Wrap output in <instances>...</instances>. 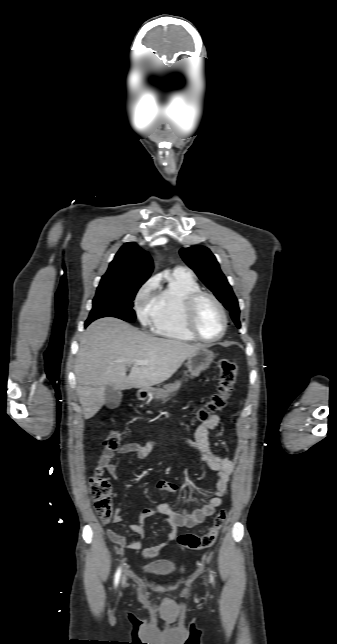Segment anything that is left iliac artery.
I'll list each match as a JSON object with an SVG mask.
<instances>
[{
  "label": "left iliac artery",
  "instance_id": "left-iliac-artery-1",
  "mask_svg": "<svg viewBox=\"0 0 337 644\" xmlns=\"http://www.w3.org/2000/svg\"><path fill=\"white\" fill-rule=\"evenodd\" d=\"M211 581L213 582V576L211 575Z\"/></svg>",
  "mask_w": 337,
  "mask_h": 644
}]
</instances>
